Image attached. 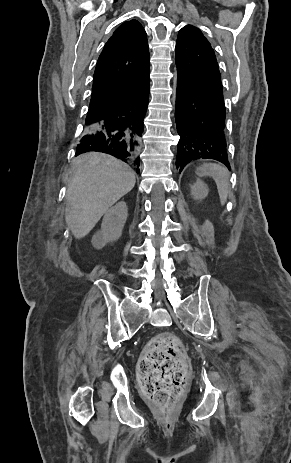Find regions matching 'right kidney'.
<instances>
[{"instance_id": "ca27d5eb", "label": "right kidney", "mask_w": 291, "mask_h": 463, "mask_svg": "<svg viewBox=\"0 0 291 463\" xmlns=\"http://www.w3.org/2000/svg\"><path fill=\"white\" fill-rule=\"evenodd\" d=\"M127 216L128 208L124 201L118 202L108 209L103 217L101 230L97 231L92 237V245L97 249H101L107 243L118 240L122 235Z\"/></svg>"}]
</instances>
